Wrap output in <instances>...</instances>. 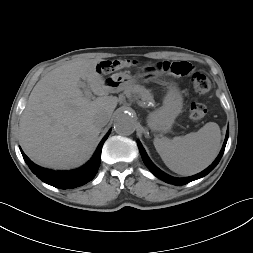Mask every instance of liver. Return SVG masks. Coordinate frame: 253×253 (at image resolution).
I'll return each instance as SVG.
<instances>
[{"mask_svg": "<svg viewBox=\"0 0 253 253\" xmlns=\"http://www.w3.org/2000/svg\"><path fill=\"white\" fill-rule=\"evenodd\" d=\"M101 59L68 62L43 76L33 88L20 118L19 139L27 156L50 168L67 169L83 163L93 152L101 127L97 115L109 117L118 98L97 72ZM94 94L91 101L80 80Z\"/></svg>", "mask_w": 253, "mask_h": 253, "instance_id": "liver-1", "label": "liver"}]
</instances>
